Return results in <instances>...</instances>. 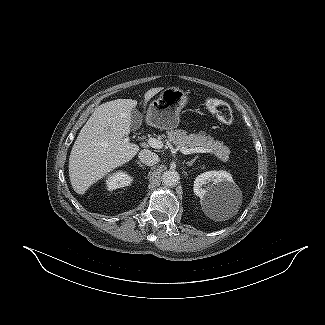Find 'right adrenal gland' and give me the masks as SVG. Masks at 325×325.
<instances>
[{"mask_svg": "<svg viewBox=\"0 0 325 325\" xmlns=\"http://www.w3.org/2000/svg\"><path fill=\"white\" fill-rule=\"evenodd\" d=\"M136 163L140 166V167H142V168H144V165L143 164H141V162H139V161H136Z\"/></svg>", "mask_w": 325, "mask_h": 325, "instance_id": "1", "label": "right adrenal gland"}]
</instances>
